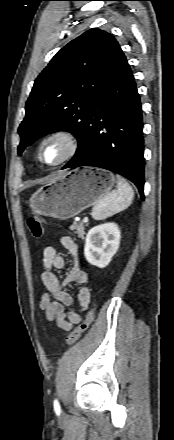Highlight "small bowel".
I'll list each match as a JSON object with an SVG mask.
<instances>
[{
	"instance_id": "obj_1",
	"label": "small bowel",
	"mask_w": 174,
	"mask_h": 440,
	"mask_svg": "<svg viewBox=\"0 0 174 440\" xmlns=\"http://www.w3.org/2000/svg\"><path fill=\"white\" fill-rule=\"evenodd\" d=\"M60 241L73 256L74 265L65 279L60 281L56 271L65 267V259L52 246L44 249L42 256L44 269L41 280L46 290L39 306L49 321H54L61 329L70 331L74 325L81 322V313L88 308L91 294L89 288L85 286L88 276L80 267L77 244L69 236H63ZM70 284L80 286L77 293L78 307L73 306V298L66 290Z\"/></svg>"
}]
</instances>
